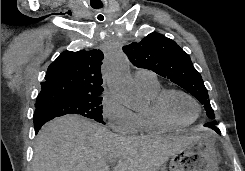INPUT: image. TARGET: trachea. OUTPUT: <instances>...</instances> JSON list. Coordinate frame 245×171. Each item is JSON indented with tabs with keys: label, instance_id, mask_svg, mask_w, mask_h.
<instances>
[{
	"label": "trachea",
	"instance_id": "1",
	"mask_svg": "<svg viewBox=\"0 0 245 171\" xmlns=\"http://www.w3.org/2000/svg\"><path fill=\"white\" fill-rule=\"evenodd\" d=\"M100 7H102V4L101 3L96 6V8H100ZM99 20L102 21L103 18H99Z\"/></svg>",
	"mask_w": 245,
	"mask_h": 171
}]
</instances>
